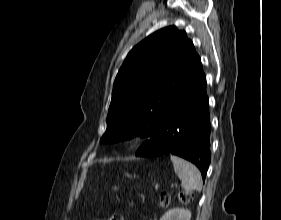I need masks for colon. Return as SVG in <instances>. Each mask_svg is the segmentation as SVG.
I'll list each match as a JSON object with an SVG mask.
<instances>
[{
	"label": "colon",
	"instance_id": "5ec220e1",
	"mask_svg": "<svg viewBox=\"0 0 281 220\" xmlns=\"http://www.w3.org/2000/svg\"><path fill=\"white\" fill-rule=\"evenodd\" d=\"M179 201L183 203H189L193 199V194L189 191H183L178 193ZM170 202V196L166 192H162L159 194V203L163 206L168 205ZM108 220H123L120 215H114L112 218Z\"/></svg>",
	"mask_w": 281,
	"mask_h": 220
}]
</instances>
